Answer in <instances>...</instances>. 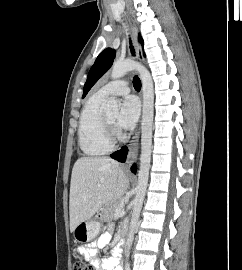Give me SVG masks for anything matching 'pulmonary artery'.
<instances>
[{
  "mask_svg": "<svg viewBox=\"0 0 242 270\" xmlns=\"http://www.w3.org/2000/svg\"><path fill=\"white\" fill-rule=\"evenodd\" d=\"M130 91L129 84L124 80L111 81L97 91L101 98H107L112 95H126Z\"/></svg>",
  "mask_w": 242,
  "mask_h": 270,
  "instance_id": "e3ab8cb5",
  "label": "pulmonary artery"
}]
</instances>
